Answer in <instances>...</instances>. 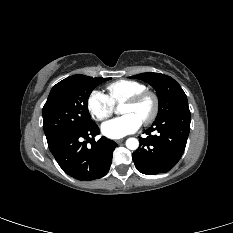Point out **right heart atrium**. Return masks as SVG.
Wrapping results in <instances>:
<instances>
[{
	"label": "right heart atrium",
	"mask_w": 233,
	"mask_h": 233,
	"mask_svg": "<svg viewBox=\"0 0 233 233\" xmlns=\"http://www.w3.org/2000/svg\"><path fill=\"white\" fill-rule=\"evenodd\" d=\"M87 109L92 118L102 121L112 115L114 105L105 94L94 90L88 96Z\"/></svg>",
	"instance_id": "right-heart-atrium-1"
}]
</instances>
